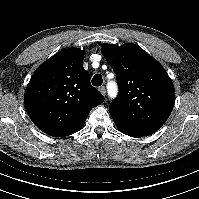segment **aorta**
Listing matches in <instances>:
<instances>
[{
    "mask_svg": "<svg viewBox=\"0 0 199 199\" xmlns=\"http://www.w3.org/2000/svg\"><path fill=\"white\" fill-rule=\"evenodd\" d=\"M118 92L117 85L115 83L108 84V94L110 97H116Z\"/></svg>",
    "mask_w": 199,
    "mask_h": 199,
    "instance_id": "1",
    "label": "aorta"
}]
</instances>
